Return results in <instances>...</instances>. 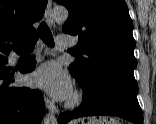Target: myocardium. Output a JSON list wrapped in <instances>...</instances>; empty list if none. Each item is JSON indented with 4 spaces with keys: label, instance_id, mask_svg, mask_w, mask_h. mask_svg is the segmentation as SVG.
I'll list each match as a JSON object with an SVG mask.
<instances>
[{
    "label": "myocardium",
    "instance_id": "1",
    "mask_svg": "<svg viewBox=\"0 0 156 124\" xmlns=\"http://www.w3.org/2000/svg\"><path fill=\"white\" fill-rule=\"evenodd\" d=\"M83 101V94L80 90L75 89L71 92L70 96L68 97L65 106L68 109H75L81 105Z\"/></svg>",
    "mask_w": 156,
    "mask_h": 124
}]
</instances>
